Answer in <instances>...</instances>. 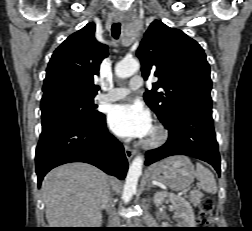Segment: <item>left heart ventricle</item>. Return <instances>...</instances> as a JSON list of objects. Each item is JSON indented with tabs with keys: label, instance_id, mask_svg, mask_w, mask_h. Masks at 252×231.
Segmentation results:
<instances>
[{
	"label": "left heart ventricle",
	"instance_id": "obj_1",
	"mask_svg": "<svg viewBox=\"0 0 252 231\" xmlns=\"http://www.w3.org/2000/svg\"><path fill=\"white\" fill-rule=\"evenodd\" d=\"M153 137V131L151 130V132L149 133V135L147 136V138H151Z\"/></svg>",
	"mask_w": 252,
	"mask_h": 231
}]
</instances>
